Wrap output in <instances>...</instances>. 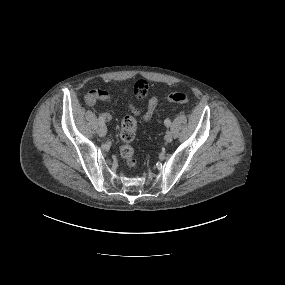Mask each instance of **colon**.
<instances>
[{
  "mask_svg": "<svg viewBox=\"0 0 285 285\" xmlns=\"http://www.w3.org/2000/svg\"><path fill=\"white\" fill-rule=\"evenodd\" d=\"M148 84L145 80L136 82L134 90L141 92L147 88ZM167 99L172 104L186 105L189 103V97L182 91H176L167 96ZM137 120L133 116H125L121 121L120 126V153L125 160L127 166L133 167L136 165V156L133 142L136 135Z\"/></svg>",
  "mask_w": 285,
  "mask_h": 285,
  "instance_id": "1",
  "label": "colon"
}]
</instances>
